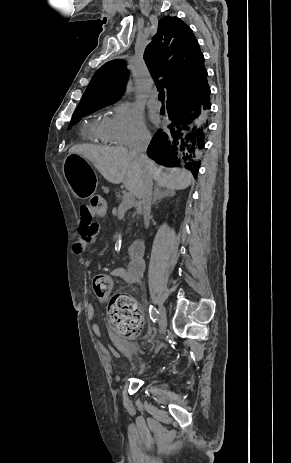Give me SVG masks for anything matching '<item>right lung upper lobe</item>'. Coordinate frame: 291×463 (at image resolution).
<instances>
[{"label":"right lung upper lobe","mask_w":291,"mask_h":463,"mask_svg":"<svg viewBox=\"0 0 291 463\" xmlns=\"http://www.w3.org/2000/svg\"><path fill=\"white\" fill-rule=\"evenodd\" d=\"M145 63L157 81L167 89L168 99L198 91L207 73L204 56L192 30L181 19L166 16L159 21L158 32L144 52ZM128 70L122 60H112L96 71L77 108L117 101L125 90Z\"/></svg>","instance_id":"right-lung-upper-lobe-1"}]
</instances>
